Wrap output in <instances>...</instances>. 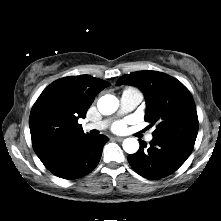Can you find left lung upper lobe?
<instances>
[{
	"label": "left lung upper lobe",
	"instance_id": "left-lung-upper-lobe-1",
	"mask_svg": "<svg viewBox=\"0 0 221 221\" xmlns=\"http://www.w3.org/2000/svg\"><path fill=\"white\" fill-rule=\"evenodd\" d=\"M133 85L145 95V121L156 125L153 137L167 136L195 143L198 116L189 90L177 79L157 71L123 75L117 85Z\"/></svg>",
	"mask_w": 221,
	"mask_h": 221
}]
</instances>
